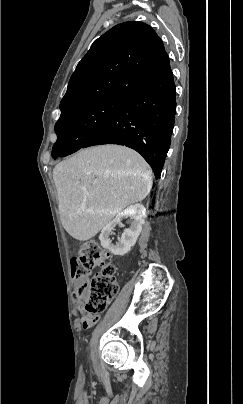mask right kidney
I'll return each mask as SVG.
<instances>
[{"label": "right kidney", "instance_id": "obj_1", "mask_svg": "<svg viewBox=\"0 0 243 404\" xmlns=\"http://www.w3.org/2000/svg\"><path fill=\"white\" fill-rule=\"evenodd\" d=\"M145 212L146 210L142 204H134V206H129V208H126L123 212H119L116 218L103 228L99 236L102 248H106V250H109L114 256H124V254H128L132 246H135L140 232H142ZM122 218H130V220H132L130 228L124 230L119 244H112L111 240H109V236L116 224H120Z\"/></svg>", "mask_w": 243, "mask_h": 404}]
</instances>
